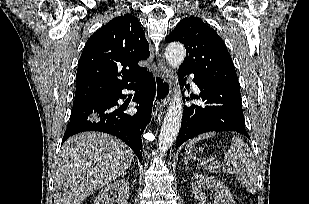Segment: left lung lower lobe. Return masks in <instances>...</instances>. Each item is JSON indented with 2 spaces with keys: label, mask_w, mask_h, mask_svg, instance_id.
I'll use <instances>...</instances> for the list:
<instances>
[{
  "label": "left lung lower lobe",
  "mask_w": 309,
  "mask_h": 204,
  "mask_svg": "<svg viewBox=\"0 0 309 204\" xmlns=\"http://www.w3.org/2000/svg\"><path fill=\"white\" fill-rule=\"evenodd\" d=\"M182 82L186 83V78ZM194 82L201 92L191 98L200 99L203 105L185 106L176 149L188 139L210 131H235L249 138L239 86L211 80L200 74H194Z\"/></svg>",
  "instance_id": "obj_1"
}]
</instances>
